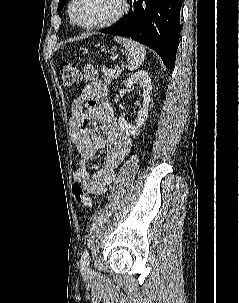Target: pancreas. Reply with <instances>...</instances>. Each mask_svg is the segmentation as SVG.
<instances>
[{"label":"pancreas","mask_w":239,"mask_h":303,"mask_svg":"<svg viewBox=\"0 0 239 303\" xmlns=\"http://www.w3.org/2000/svg\"><path fill=\"white\" fill-rule=\"evenodd\" d=\"M102 77L103 80L107 83L110 84L114 79L118 78L120 76L121 70L119 72H115L113 69H108L107 67H102Z\"/></svg>","instance_id":"1"}]
</instances>
